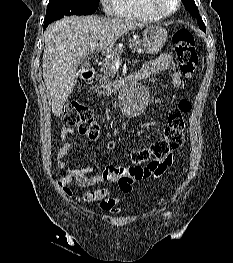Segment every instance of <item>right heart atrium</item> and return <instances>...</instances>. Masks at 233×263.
Returning <instances> with one entry per match:
<instances>
[{
	"instance_id": "obj_1",
	"label": "right heart atrium",
	"mask_w": 233,
	"mask_h": 263,
	"mask_svg": "<svg viewBox=\"0 0 233 263\" xmlns=\"http://www.w3.org/2000/svg\"><path fill=\"white\" fill-rule=\"evenodd\" d=\"M104 10L107 13H114L115 4L117 0H100Z\"/></svg>"
}]
</instances>
